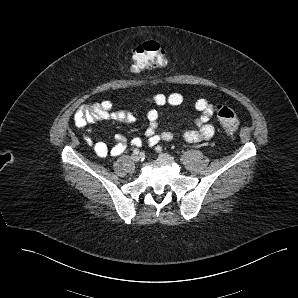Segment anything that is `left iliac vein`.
<instances>
[{"instance_id": "left-iliac-vein-1", "label": "left iliac vein", "mask_w": 298, "mask_h": 298, "mask_svg": "<svg viewBox=\"0 0 298 298\" xmlns=\"http://www.w3.org/2000/svg\"><path fill=\"white\" fill-rule=\"evenodd\" d=\"M159 159L165 162L173 161V157L167 153L159 154Z\"/></svg>"}]
</instances>
